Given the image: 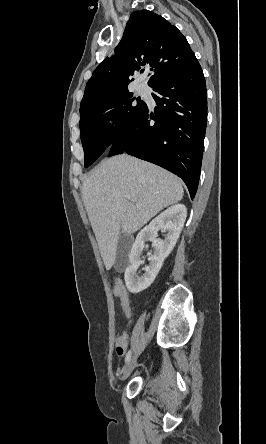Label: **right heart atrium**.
I'll return each mask as SVG.
<instances>
[{"label": "right heart atrium", "mask_w": 266, "mask_h": 444, "mask_svg": "<svg viewBox=\"0 0 266 444\" xmlns=\"http://www.w3.org/2000/svg\"><path fill=\"white\" fill-rule=\"evenodd\" d=\"M118 125L117 118L114 114H110L107 116L104 122L105 129L108 131H113L116 129Z\"/></svg>", "instance_id": "obj_1"}]
</instances>
